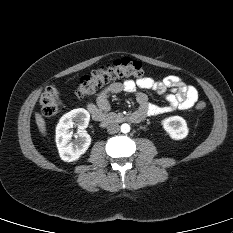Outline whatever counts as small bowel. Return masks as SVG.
I'll use <instances>...</instances> for the list:
<instances>
[{
  "mask_svg": "<svg viewBox=\"0 0 233 233\" xmlns=\"http://www.w3.org/2000/svg\"><path fill=\"white\" fill-rule=\"evenodd\" d=\"M144 90H153L164 95L166 105L149 102ZM120 92L131 93L139 105V112L144 116H157L176 110L184 111L193 107L198 99V91L193 86L186 85L178 76L169 75L162 79L143 77L137 80L114 82L101 90L95 102H88L87 109L95 119L107 114L110 109L109 98Z\"/></svg>",
  "mask_w": 233,
  "mask_h": 233,
  "instance_id": "1",
  "label": "small bowel"
}]
</instances>
